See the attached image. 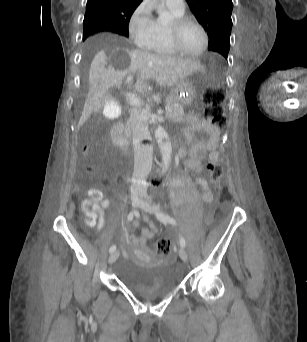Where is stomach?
<instances>
[{"label": "stomach", "instance_id": "stomach-1", "mask_svg": "<svg viewBox=\"0 0 307 342\" xmlns=\"http://www.w3.org/2000/svg\"><path fill=\"white\" fill-rule=\"evenodd\" d=\"M201 76V70L194 71L174 86L172 95L181 105H189L193 101L199 88Z\"/></svg>", "mask_w": 307, "mask_h": 342}]
</instances>
